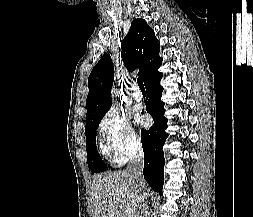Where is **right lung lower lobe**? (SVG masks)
Listing matches in <instances>:
<instances>
[{
	"instance_id": "right-lung-lower-lobe-1",
	"label": "right lung lower lobe",
	"mask_w": 253,
	"mask_h": 217,
	"mask_svg": "<svg viewBox=\"0 0 253 217\" xmlns=\"http://www.w3.org/2000/svg\"><path fill=\"white\" fill-rule=\"evenodd\" d=\"M162 76V73L156 72L144 83L147 91L146 110L153 117L154 124L149 130L141 129V142L144 151L143 175L150 187L154 191H159L161 195L165 163L162 147L168 136L165 132L167 118L163 116L164 102L160 99L163 87L159 83Z\"/></svg>"
}]
</instances>
